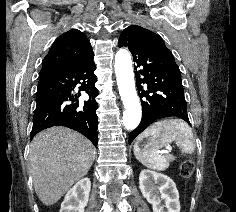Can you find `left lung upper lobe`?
<instances>
[{
	"label": "left lung upper lobe",
	"instance_id": "obj_1",
	"mask_svg": "<svg viewBox=\"0 0 236 212\" xmlns=\"http://www.w3.org/2000/svg\"><path fill=\"white\" fill-rule=\"evenodd\" d=\"M126 29H143V30H147V29L142 28V27L137 26V25H131V26L127 27ZM148 31H149V30H148Z\"/></svg>",
	"mask_w": 236,
	"mask_h": 212
}]
</instances>
